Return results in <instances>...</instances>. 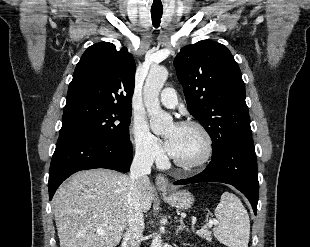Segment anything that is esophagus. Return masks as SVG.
Here are the masks:
<instances>
[{"instance_id":"esophagus-1","label":"esophagus","mask_w":310,"mask_h":247,"mask_svg":"<svg viewBox=\"0 0 310 247\" xmlns=\"http://www.w3.org/2000/svg\"><path fill=\"white\" fill-rule=\"evenodd\" d=\"M156 186L160 192H166L169 190V181L163 174L156 176Z\"/></svg>"}]
</instances>
